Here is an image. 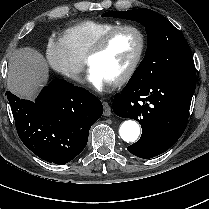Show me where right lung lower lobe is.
<instances>
[{
	"label": "right lung lower lobe",
	"instance_id": "right-lung-lower-lobe-1",
	"mask_svg": "<svg viewBox=\"0 0 209 209\" xmlns=\"http://www.w3.org/2000/svg\"><path fill=\"white\" fill-rule=\"evenodd\" d=\"M21 141L35 155L65 164L85 148L89 129L103 113L100 100L62 79L45 86L35 102L6 92Z\"/></svg>",
	"mask_w": 209,
	"mask_h": 209
}]
</instances>
